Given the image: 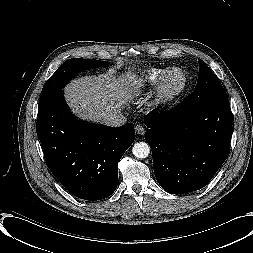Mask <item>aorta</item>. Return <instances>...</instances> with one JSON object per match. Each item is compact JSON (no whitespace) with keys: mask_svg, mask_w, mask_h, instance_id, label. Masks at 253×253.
<instances>
[{"mask_svg":"<svg viewBox=\"0 0 253 253\" xmlns=\"http://www.w3.org/2000/svg\"><path fill=\"white\" fill-rule=\"evenodd\" d=\"M132 153L135 157L143 159L148 157L150 153V147L146 142H137L132 147Z\"/></svg>","mask_w":253,"mask_h":253,"instance_id":"obj_1","label":"aorta"}]
</instances>
